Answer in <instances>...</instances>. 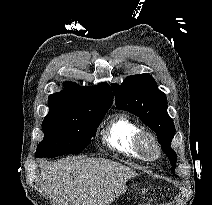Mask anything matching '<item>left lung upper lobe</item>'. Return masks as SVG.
<instances>
[{
	"label": "left lung upper lobe",
	"mask_w": 212,
	"mask_h": 205,
	"mask_svg": "<svg viewBox=\"0 0 212 205\" xmlns=\"http://www.w3.org/2000/svg\"><path fill=\"white\" fill-rule=\"evenodd\" d=\"M116 98V106L135 114L150 129L156 132L162 150L167 154L175 169L177 155L170 147L175 135L173 120L167 113V99L163 92L157 88L153 77L149 74L128 76L119 86L112 84Z\"/></svg>",
	"instance_id": "obj_1"
}]
</instances>
